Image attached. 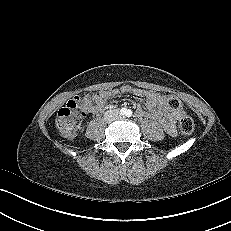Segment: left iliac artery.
<instances>
[{
  "instance_id": "44dca946",
  "label": "left iliac artery",
  "mask_w": 231,
  "mask_h": 231,
  "mask_svg": "<svg viewBox=\"0 0 231 231\" xmlns=\"http://www.w3.org/2000/svg\"><path fill=\"white\" fill-rule=\"evenodd\" d=\"M126 116L127 117H131L132 116V111L131 110H127L126 111Z\"/></svg>"
}]
</instances>
